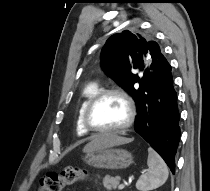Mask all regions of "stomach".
I'll list each match as a JSON object with an SVG mask.
<instances>
[{
	"mask_svg": "<svg viewBox=\"0 0 210 191\" xmlns=\"http://www.w3.org/2000/svg\"><path fill=\"white\" fill-rule=\"evenodd\" d=\"M84 161L89 166L110 170L125 169L134 163L130 152L112 147L86 152Z\"/></svg>",
	"mask_w": 210,
	"mask_h": 191,
	"instance_id": "obj_1",
	"label": "stomach"
}]
</instances>
